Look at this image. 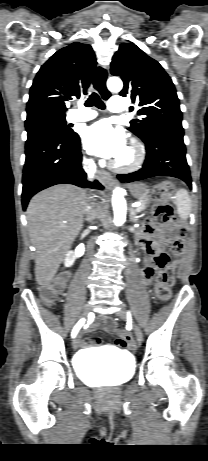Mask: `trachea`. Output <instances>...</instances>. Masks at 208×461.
I'll return each mask as SVG.
<instances>
[{
  "label": "trachea",
  "mask_w": 208,
  "mask_h": 461,
  "mask_svg": "<svg viewBox=\"0 0 208 461\" xmlns=\"http://www.w3.org/2000/svg\"><path fill=\"white\" fill-rule=\"evenodd\" d=\"M105 80H106V71L99 67L97 69V72L93 78V84L94 87L99 91V93L102 95V97L106 100L110 95L109 92L105 88ZM95 105L99 109H105V105L100 99L99 95L95 92H93L87 101L85 102L86 107H91Z\"/></svg>",
  "instance_id": "trachea-1"
}]
</instances>
